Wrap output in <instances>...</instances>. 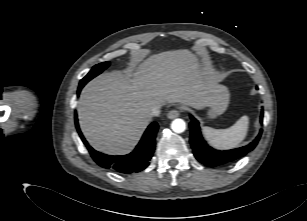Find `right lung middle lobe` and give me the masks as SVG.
I'll return each instance as SVG.
<instances>
[{"label":"right lung middle lobe","instance_id":"obj_1","mask_svg":"<svg viewBox=\"0 0 307 221\" xmlns=\"http://www.w3.org/2000/svg\"><path fill=\"white\" fill-rule=\"evenodd\" d=\"M109 66V62H103L95 65L92 70L80 81V84L85 85L92 78L99 75L103 70H105Z\"/></svg>","mask_w":307,"mask_h":221}]
</instances>
